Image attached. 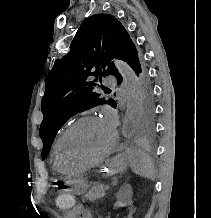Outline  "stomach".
I'll return each mask as SVG.
<instances>
[{
	"label": "stomach",
	"mask_w": 211,
	"mask_h": 218,
	"mask_svg": "<svg viewBox=\"0 0 211 218\" xmlns=\"http://www.w3.org/2000/svg\"><path fill=\"white\" fill-rule=\"evenodd\" d=\"M127 165V156L124 154H120L109 159L103 170L107 176H112L124 170L127 167ZM65 182L70 187V191L77 195L84 194L89 187L86 180L80 177L68 178Z\"/></svg>",
	"instance_id": "obj_1"
}]
</instances>
